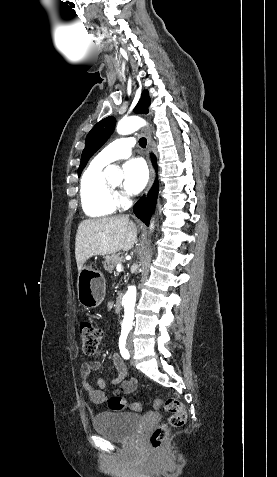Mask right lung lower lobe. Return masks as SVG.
I'll list each match as a JSON object with an SVG mask.
<instances>
[{
    "label": "right lung lower lobe",
    "instance_id": "98d812e1",
    "mask_svg": "<svg viewBox=\"0 0 277 477\" xmlns=\"http://www.w3.org/2000/svg\"><path fill=\"white\" fill-rule=\"evenodd\" d=\"M153 164L156 168V158L152 157ZM158 193V181L156 180L152 189L147 195V198L142 197L134 206V212L146 225H149V220L154 211Z\"/></svg>",
    "mask_w": 277,
    "mask_h": 477
}]
</instances>
